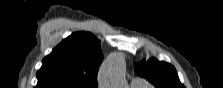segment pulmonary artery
<instances>
[{"label":"pulmonary artery","mask_w":223,"mask_h":88,"mask_svg":"<svg viewBox=\"0 0 223 88\" xmlns=\"http://www.w3.org/2000/svg\"><path fill=\"white\" fill-rule=\"evenodd\" d=\"M131 85L133 88H140L147 86V83L141 78H133L131 81Z\"/></svg>","instance_id":"obj_1"}]
</instances>
